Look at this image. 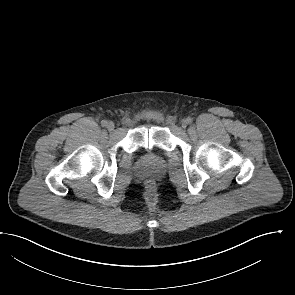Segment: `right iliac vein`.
<instances>
[{
    "instance_id": "63e3f726",
    "label": "right iliac vein",
    "mask_w": 295,
    "mask_h": 295,
    "mask_svg": "<svg viewBox=\"0 0 295 295\" xmlns=\"http://www.w3.org/2000/svg\"><path fill=\"white\" fill-rule=\"evenodd\" d=\"M106 127L109 131H112L115 128V124L112 121H108Z\"/></svg>"
}]
</instances>
